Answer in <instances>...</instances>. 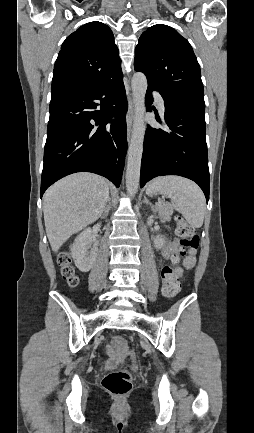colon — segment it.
I'll return each instance as SVG.
<instances>
[{
    "instance_id": "1",
    "label": "colon",
    "mask_w": 254,
    "mask_h": 433,
    "mask_svg": "<svg viewBox=\"0 0 254 433\" xmlns=\"http://www.w3.org/2000/svg\"><path fill=\"white\" fill-rule=\"evenodd\" d=\"M177 235L180 237L182 248L179 254L173 257V263L178 264L180 259L187 257L189 253L198 247V235L195 229L185 223L182 218H176ZM58 263L61 266V273L63 279L70 287H75L78 282V276L71 263V257L68 253H61L58 256ZM162 281L164 285L163 293L166 297L173 298L180 291V283L173 266H165L161 272ZM114 345L118 349L125 348V340L122 337H115L113 340ZM102 386L106 392L114 397H124L128 395L132 389L131 375L125 371H113L106 374L102 380Z\"/></svg>"
}]
</instances>
